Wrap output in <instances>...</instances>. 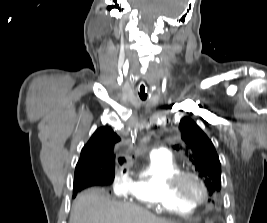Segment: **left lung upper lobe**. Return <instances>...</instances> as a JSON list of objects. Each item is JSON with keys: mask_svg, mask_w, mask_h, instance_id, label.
Listing matches in <instances>:
<instances>
[{"mask_svg": "<svg viewBox=\"0 0 267 223\" xmlns=\"http://www.w3.org/2000/svg\"><path fill=\"white\" fill-rule=\"evenodd\" d=\"M179 128L182 139L186 143L189 160L204 180L208 191L210 194L219 191L221 189V165L211 140L196 122L188 117L181 119Z\"/></svg>", "mask_w": 267, "mask_h": 223, "instance_id": "1", "label": "left lung upper lobe"}]
</instances>
